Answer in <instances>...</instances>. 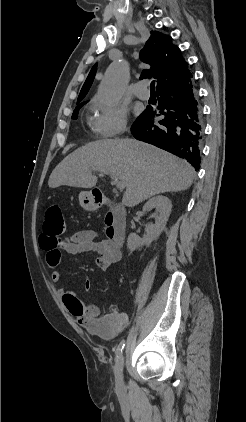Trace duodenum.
Instances as JSON below:
<instances>
[{
  "mask_svg": "<svg viewBox=\"0 0 246 422\" xmlns=\"http://www.w3.org/2000/svg\"><path fill=\"white\" fill-rule=\"evenodd\" d=\"M96 202L98 204L107 203L110 206L105 217L106 234L115 245L121 246L126 235L125 207L120 203H112L101 197H96Z\"/></svg>",
  "mask_w": 246,
  "mask_h": 422,
  "instance_id": "410a0bca",
  "label": "duodenum"
}]
</instances>
